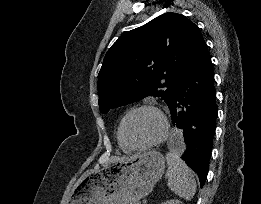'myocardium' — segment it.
Segmentation results:
<instances>
[{
	"instance_id": "f54148a6",
	"label": "myocardium",
	"mask_w": 261,
	"mask_h": 204,
	"mask_svg": "<svg viewBox=\"0 0 261 204\" xmlns=\"http://www.w3.org/2000/svg\"><path fill=\"white\" fill-rule=\"evenodd\" d=\"M141 111H149V112L154 113L157 116V118L160 121V126H161L160 132H159L158 136L155 139H153L152 141H150L146 144H143V145L132 146V145H129L125 141V139L123 137V128H124L126 120L131 115L141 112ZM168 132H169V120H168L166 114L164 113V111L155 104L145 103V104L135 106L125 113V115L122 117V119L119 123L117 136H118V140H119L120 144L125 149H127L129 151H144V150H148V149L155 147V146L159 145L160 143H162L165 140V138L167 137Z\"/></svg>"
}]
</instances>
